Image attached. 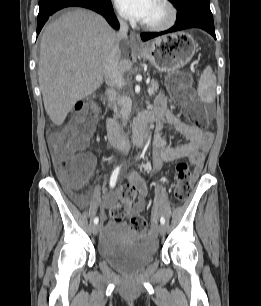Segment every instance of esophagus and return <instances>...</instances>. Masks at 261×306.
Masks as SVG:
<instances>
[{"label":"esophagus","instance_id":"1","mask_svg":"<svg viewBox=\"0 0 261 306\" xmlns=\"http://www.w3.org/2000/svg\"><path fill=\"white\" fill-rule=\"evenodd\" d=\"M130 46L135 49L139 50L143 47L139 35L136 32H132L130 36Z\"/></svg>","mask_w":261,"mask_h":306}]
</instances>
